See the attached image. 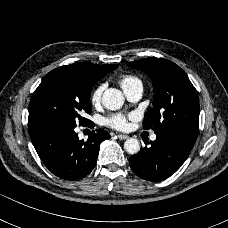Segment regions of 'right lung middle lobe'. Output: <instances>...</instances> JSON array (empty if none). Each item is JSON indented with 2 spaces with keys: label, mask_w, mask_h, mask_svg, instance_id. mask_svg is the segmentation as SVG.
<instances>
[{
  "label": "right lung middle lobe",
  "mask_w": 228,
  "mask_h": 228,
  "mask_svg": "<svg viewBox=\"0 0 228 228\" xmlns=\"http://www.w3.org/2000/svg\"><path fill=\"white\" fill-rule=\"evenodd\" d=\"M105 75L73 65L49 72L31 97L29 127L46 122H63L73 126L91 123L83 114L91 113L90 92L94 83Z\"/></svg>",
  "instance_id": "obj_1"
}]
</instances>
